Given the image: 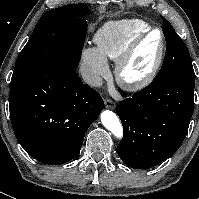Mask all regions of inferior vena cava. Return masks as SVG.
Returning <instances> with one entry per match:
<instances>
[{"label": "inferior vena cava", "mask_w": 199, "mask_h": 199, "mask_svg": "<svg viewBox=\"0 0 199 199\" xmlns=\"http://www.w3.org/2000/svg\"><path fill=\"white\" fill-rule=\"evenodd\" d=\"M80 73L83 80L92 87H100L102 85V78L93 72L90 68L82 66Z\"/></svg>", "instance_id": "1"}]
</instances>
